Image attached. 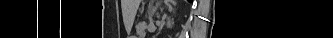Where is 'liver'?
<instances>
[{"instance_id":"liver-1","label":"liver","mask_w":333,"mask_h":38,"mask_svg":"<svg viewBox=\"0 0 333 38\" xmlns=\"http://www.w3.org/2000/svg\"><path fill=\"white\" fill-rule=\"evenodd\" d=\"M133 2H134V4H135V7H134V11H133V13L135 14L136 11H137V9H138V7H139L140 0H134Z\"/></svg>"}]
</instances>
